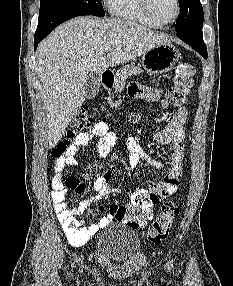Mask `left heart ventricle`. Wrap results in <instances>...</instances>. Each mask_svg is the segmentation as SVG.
<instances>
[{"mask_svg":"<svg viewBox=\"0 0 233 286\" xmlns=\"http://www.w3.org/2000/svg\"><path fill=\"white\" fill-rule=\"evenodd\" d=\"M150 8L154 19L161 23L169 22L176 13L174 0H150Z\"/></svg>","mask_w":233,"mask_h":286,"instance_id":"obj_1","label":"left heart ventricle"}]
</instances>
